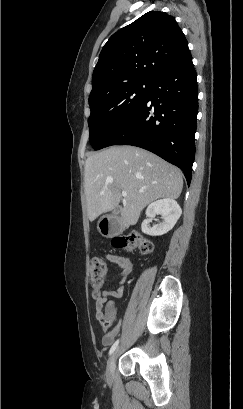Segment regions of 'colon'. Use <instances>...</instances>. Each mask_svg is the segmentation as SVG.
<instances>
[{"instance_id":"colon-1","label":"colon","mask_w":243,"mask_h":409,"mask_svg":"<svg viewBox=\"0 0 243 409\" xmlns=\"http://www.w3.org/2000/svg\"><path fill=\"white\" fill-rule=\"evenodd\" d=\"M111 244L118 250H133L138 248L142 254H148L153 249V244L148 239L138 235L129 234L125 236H116L112 238ZM107 267L101 259H93L90 263L89 269V281L93 288V295L95 297L100 296V289L104 284L106 277ZM103 325L107 328L116 319L115 313L104 315L100 314Z\"/></svg>"}]
</instances>
